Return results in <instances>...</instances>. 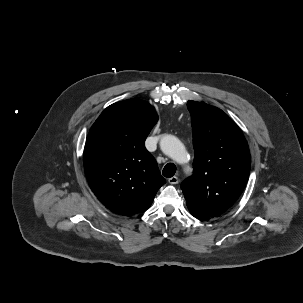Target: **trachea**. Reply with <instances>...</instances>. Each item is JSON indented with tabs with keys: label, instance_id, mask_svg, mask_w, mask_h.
I'll return each instance as SVG.
<instances>
[{
	"label": "trachea",
	"instance_id": "obj_1",
	"mask_svg": "<svg viewBox=\"0 0 303 303\" xmlns=\"http://www.w3.org/2000/svg\"><path fill=\"white\" fill-rule=\"evenodd\" d=\"M175 172H176V166L173 163H168L164 167L162 174L163 176L170 178L174 176Z\"/></svg>",
	"mask_w": 303,
	"mask_h": 303
}]
</instances>
